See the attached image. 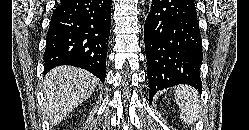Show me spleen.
<instances>
[{"label": "spleen", "instance_id": "obj_1", "mask_svg": "<svg viewBox=\"0 0 249 130\" xmlns=\"http://www.w3.org/2000/svg\"><path fill=\"white\" fill-rule=\"evenodd\" d=\"M175 99L180 108V118L187 124L195 122L200 115V101L197 91L191 86L175 88Z\"/></svg>", "mask_w": 249, "mask_h": 130}]
</instances>
